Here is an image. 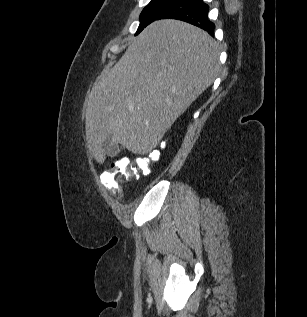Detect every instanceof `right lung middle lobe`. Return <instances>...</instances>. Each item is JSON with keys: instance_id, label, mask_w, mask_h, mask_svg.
Masks as SVG:
<instances>
[{"instance_id": "1", "label": "right lung middle lobe", "mask_w": 307, "mask_h": 317, "mask_svg": "<svg viewBox=\"0 0 307 317\" xmlns=\"http://www.w3.org/2000/svg\"><path fill=\"white\" fill-rule=\"evenodd\" d=\"M173 0H151V2L143 9L140 15V25L136 35L143 30L148 24L157 19V17L171 5Z\"/></svg>"}]
</instances>
